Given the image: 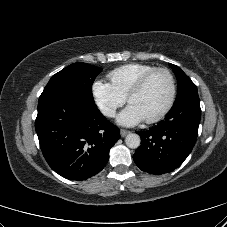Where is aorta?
Masks as SVG:
<instances>
[{"mask_svg":"<svg viewBox=\"0 0 227 227\" xmlns=\"http://www.w3.org/2000/svg\"><path fill=\"white\" fill-rule=\"evenodd\" d=\"M141 139L139 135L130 133L125 138L126 145L131 149H136L140 146Z\"/></svg>","mask_w":227,"mask_h":227,"instance_id":"762f6f07","label":"aorta"}]
</instances>
